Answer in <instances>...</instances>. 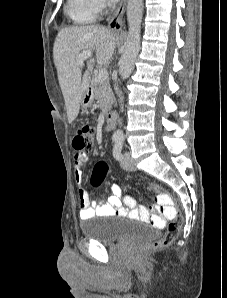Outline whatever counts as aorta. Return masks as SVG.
Returning <instances> with one entry per match:
<instances>
[{
	"label": "aorta",
	"instance_id": "762f6f07",
	"mask_svg": "<svg viewBox=\"0 0 227 298\" xmlns=\"http://www.w3.org/2000/svg\"><path fill=\"white\" fill-rule=\"evenodd\" d=\"M143 9V0H128V35L123 46L122 56L119 60V74L123 80L127 79L131 75L134 69L135 60L140 50V31ZM113 137L123 139V131H115Z\"/></svg>",
	"mask_w": 227,
	"mask_h": 298
}]
</instances>
